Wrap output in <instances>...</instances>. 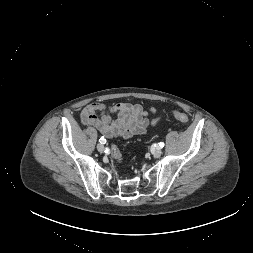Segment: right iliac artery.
<instances>
[{
    "mask_svg": "<svg viewBox=\"0 0 253 253\" xmlns=\"http://www.w3.org/2000/svg\"><path fill=\"white\" fill-rule=\"evenodd\" d=\"M99 142H100L101 144H105V143H106V139H105L104 137H101V138L99 139Z\"/></svg>",
    "mask_w": 253,
    "mask_h": 253,
    "instance_id": "obj_1",
    "label": "right iliac artery"
}]
</instances>
